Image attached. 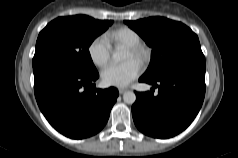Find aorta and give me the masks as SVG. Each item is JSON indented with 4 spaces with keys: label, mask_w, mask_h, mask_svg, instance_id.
<instances>
[{
    "label": "aorta",
    "mask_w": 238,
    "mask_h": 158,
    "mask_svg": "<svg viewBox=\"0 0 238 158\" xmlns=\"http://www.w3.org/2000/svg\"><path fill=\"white\" fill-rule=\"evenodd\" d=\"M112 58L115 61H120L123 58V54L120 51L113 53ZM123 100L127 104H133L136 101V95L132 91H127L123 94Z\"/></svg>",
    "instance_id": "762f6f07"
}]
</instances>
